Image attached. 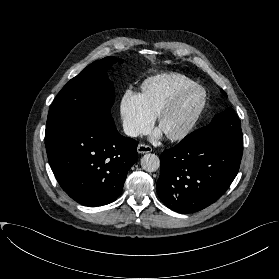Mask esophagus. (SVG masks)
I'll return each mask as SVG.
<instances>
[{"instance_id": "esophagus-1", "label": "esophagus", "mask_w": 279, "mask_h": 279, "mask_svg": "<svg viewBox=\"0 0 279 279\" xmlns=\"http://www.w3.org/2000/svg\"><path fill=\"white\" fill-rule=\"evenodd\" d=\"M137 151L140 154H145L151 152L152 148L149 145L139 144L137 147Z\"/></svg>"}]
</instances>
